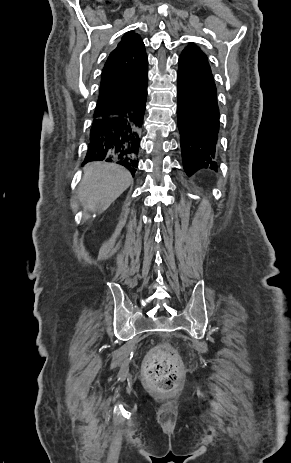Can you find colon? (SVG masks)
Masks as SVG:
<instances>
[{
	"mask_svg": "<svg viewBox=\"0 0 291 463\" xmlns=\"http://www.w3.org/2000/svg\"><path fill=\"white\" fill-rule=\"evenodd\" d=\"M145 374L153 388L159 392H169L176 387L180 367L170 350L156 349L147 356Z\"/></svg>",
	"mask_w": 291,
	"mask_h": 463,
	"instance_id": "obj_1",
	"label": "colon"
}]
</instances>
